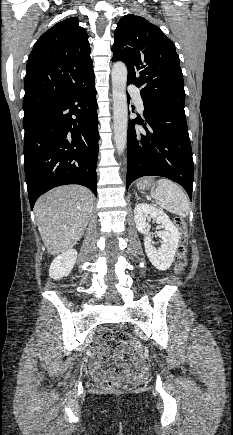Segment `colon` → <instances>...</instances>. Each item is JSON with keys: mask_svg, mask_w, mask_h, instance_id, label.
I'll list each match as a JSON object with an SVG mask.
<instances>
[{"mask_svg": "<svg viewBox=\"0 0 233 435\" xmlns=\"http://www.w3.org/2000/svg\"><path fill=\"white\" fill-rule=\"evenodd\" d=\"M175 225L185 235L186 223L181 217H175ZM187 263V246L185 242L178 245L175 255V272L181 274ZM98 336L102 341H114L116 343H126L130 345H138V342L126 332H113L110 328L102 327L98 331ZM101 390L104 393L113 394L125 389L126 385L115 379H104L101 382Z\"/></svg>", "mask_w": 233, "mask_h": 435, "instance_id": "obj_1", "label": "colon"}]
</instances>
